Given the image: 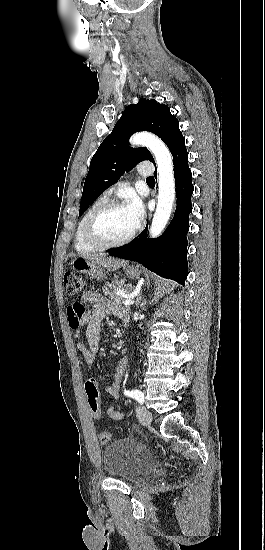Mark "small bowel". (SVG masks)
Listing matches in <instances>:
<instances>
[{"label": "small bowel", "mask_w": 265, "mask_h": 550, "mask_svg": "<svg viewBox=\"0 0 265 550\" xmlns=\"http://www.w3.org/2000/svg\"><path fill=\"white\" fill-rule=\"evenodd\" d=\"M81 301L83 303H91V310L86 311L81 303L73 304L68 308V320L72 319L78 322L76 326L71 327L73 329V337L76 341V348L82 354L83 362L86 365H90L96 360L101 351L100 328L106 315L114 314L120 318L123 325H126L128 323V313L120 305L109 301L105 296L93 291L84 292L81 296ZM84 326L86 327L87 344H84L80 340ZM128 362L127 357H122L115 367L112 382L105 388L110 399L119 397ZM107 415L115 421L122 420L124 417L123 412L113 405L108 407ZM94 418L99 419L100 417Z\"/></svg>", "instance_id": "small-bowel-1"}]
</instances>
